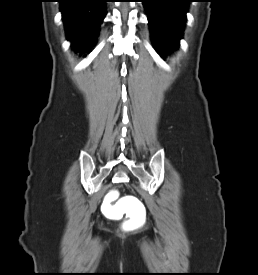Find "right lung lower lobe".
Listing matches in <instances>:
<instances>
[{
    "label": "right lung lower lobe",
    "mask_w": 258,
    "mask_h": 275,
    "mask_svg": "<svg viewBox=\"0 0 258 275\" xmlns=\"http://www.w3.org/2000/svg\"><path fill=\"white\" fill-rule=\"evenodd\" d=\"M107 0H60L67 38L80 52L95 43L100 23L106 15Z\"/></svg>",
    "instance_id": "1"
}]
</instances>
